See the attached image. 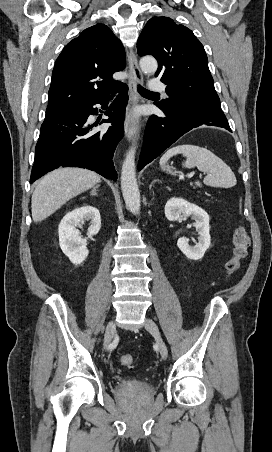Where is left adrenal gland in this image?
<instances>
[{"label":"left adrenal gland","instance_id":"left-adrenal-gland-1","mask_svg":"<svg viewBox=\"0 0 272 452\" xmlns=\"http://www.w3.org/2000/svg\"><path fill=\"white\" fill-rule=\"evenodd\" d=\"M155 182H160V180H157V179L153 180V182H152L151 185H150V189H151V187L153 186V184H154Z\"/></svg>","mask_w":272,"mask_h":452}]
</instances>
